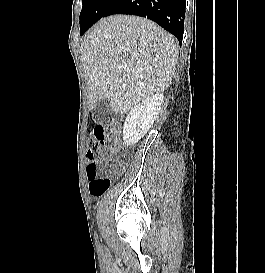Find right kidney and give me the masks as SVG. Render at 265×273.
Returning a JSON list of instances; mask_svg holds the SVG:
<instances>
[{
    "label": "right kidney",
    "mask_w": 265,
    "mask_h": 273,
    "mask_svg": "<svg viewBox=\"0 0 265 273\" xmlns=\"http://www.w3.org/2000/svg\"><path fill=\"white\" fill-rule=\"evenodd\" d=\"M164 95L154 94L134 106L126 117L123 141L127 146L135 145L149 131L161 110Z\"/></svg>",
    "instance_id": "right-kidney-1"
}]
</instances>
